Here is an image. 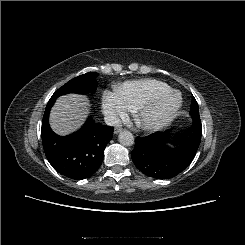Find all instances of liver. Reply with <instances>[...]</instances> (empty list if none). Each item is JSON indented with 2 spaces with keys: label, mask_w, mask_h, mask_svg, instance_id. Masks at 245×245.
<instances>
[{
  "label": "liver",
  "mask_w": 245,
  "mask_h": 245,
  "mask_svg": "<svg viewBox=\"0 0 245 245\" xmlns=\"http://www.w3.org/2000/svg\"><path fill=\"white\" fill-rule=\"evenodd\" d=\"M89 100L86 96L69 94L60 97L50 114L52 129L60 135H67L78 129L89 113Z\"/></svg>",
  "instance_id": "liver-1"
}]
</instances>
